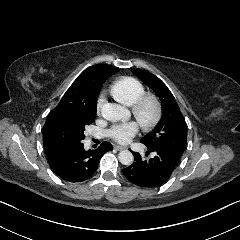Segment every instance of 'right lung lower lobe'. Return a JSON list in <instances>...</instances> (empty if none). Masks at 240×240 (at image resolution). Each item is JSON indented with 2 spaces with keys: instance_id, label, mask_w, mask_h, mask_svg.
<instances>
[{
  "instance_id": "right-lung-lower-lobe-1",
  "label": "right lung lower lobe",
  "mask_w": 240,
  "mask_h": 240,
  "mask_svg": "<svg viewBox=\"0 0 240 240\" xmlns=\"http://www.w3.org/2000/svg\"><path fill=\"white\" fill-rule=\"evenodd\" d=\"M113 150L109 142H104L96 150L78 146H54L45 149L48 163L61 179L68 182H82L90 178L97 170L100 158Z\"/></svg>"
}]
</instances>
